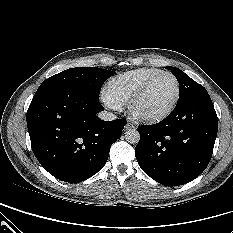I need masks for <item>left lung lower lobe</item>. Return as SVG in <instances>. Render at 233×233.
<instances>
[{
    "instance_id": "left-lung-lower-lobe-1",
    "label": "left lung lower lobe",
    "mask_w": 233,
    "mask_h": 233,
    "mask_svg": "<svg viewBox=\"0 0 233 233\" xmlns=\"http://www.w3.org/2000/svg\"><path fill=\"white\" fill-rule=\"evenodd\" d=\"M217 129L218 118L208 92L196 93L177 103L174 111L159 123L138 127V164L160 184H186L207 167Z\"/></svg>"
}]
</instances>
